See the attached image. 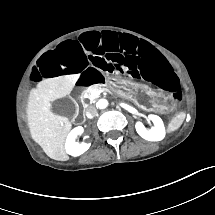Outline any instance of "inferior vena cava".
Masks as SVG:
<instances>
[{"label":"inferior vena cava","instance_id":"602c4592","mask_svg":"<svg viewBox=\"0 0 215 215\" xmlns=\"http://www.w3.org/2000/svg\"><path fill=\"white\" fill-rule=\"evenodd\" d=\"M85 113H86V116L88 118H93L95 116L98 115V111H97V108L93 105H90L88 106L86 109H85Z\"/></svg>","mask_w":215,"mask_h":215}]
</instances>
